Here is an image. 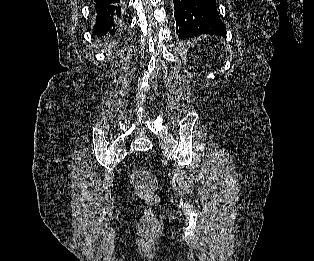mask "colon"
<instances>
[{
    "mask_svg": "<svg viewBox=\"0 0 314 261\" xmlns=\"http://www.w3.org/2000/svg\"><path fill=\"white\" fill-rule=\"evenodd\" d=\"M138 196L150 205L145 213V219L153 221L151 208L160 203V198L156 194V179L154 175L147 170H137L130 176Z\"/></svg>",
    "mask_w": 314,
    "mask_h": 261,
    "instance_id": "1",
    "label": "colon"
}]
</instances>
